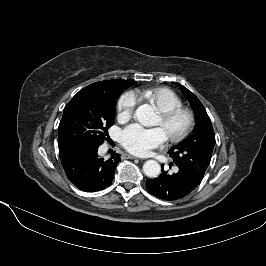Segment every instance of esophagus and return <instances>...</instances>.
I'll list each match as a JSON object with an SVG mask.
<instances>
[{"mask_svg": "<svg viewBox=\"0 0 266 266\" xmlns=\"http://www.w3.org/2000/svg\"><path fill=\"white\" fill-rule=\"evenodd\" d=\"M122 158H126V159H137L136 157L129 155V154H125L122 156Z\"/></svg>", "mask_w": 266, "mask_h": 266, "instance_id": "esophagus-1", "label": "esophagus"}]
</instances>
